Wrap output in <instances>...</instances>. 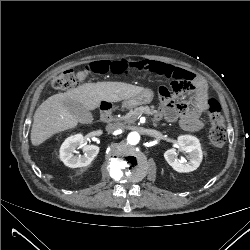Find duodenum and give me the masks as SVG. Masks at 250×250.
Returning a JSON list of instances; mask_svg holds the SVG:
<instances>
[{"instance_id": "duodenum-1", "label": "duodenum", "mask_w": 250, "mask_h": 250, "mask_svg": "<svg viewBox=\"0 0 250 250\" xmlns=\"http://www.w3.org/2000/svg\"><path fill=\"white\" fill-rule=\"evenodd\" d=\"M101 119L104 122H108L111 119V112L109 111V109L106 106H103L101 108Z\"/></svg>"}]
</instances>
